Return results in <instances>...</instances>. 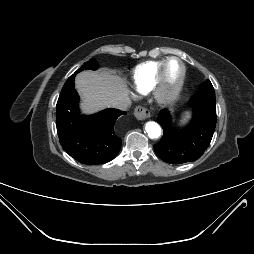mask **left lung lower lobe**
Returning <instances> with one entry per match:
<instances>
[{"label":"left lung lower lobe","mask_w":254,"mask_h":254,"mask_svg":"<svg viewBox=\"0 0 254 254\" xmlns=\"http://www.w3.org/2000/svg\"><path fill=\"white\" fill-rule=\"evenodd\" d=\"M190 103L194 109L191 123L182 131H174L167 109L159 112L157 121L163 128V137L154 145L155 153L170 164L197 160L208 148L216 126L215 94L198 92Z\"/></svg>","instance_id":"1"}]
</instances>
